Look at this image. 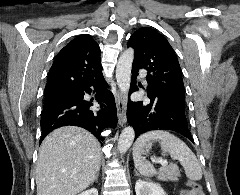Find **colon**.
I'll return each mask as SVG.
<instances>
[{
	"instance_id": "colon-1",
	"label": "colon",
	"mask_w": 240,
	"mask_h": 195,
	"mask_svg": "<svg viewBox=\"0 0 240 195\" xmlns=\"http://www.w3.org/2000/svg\"><path fill=\"white\" fill-rule=\"evenodd\" d=\"M190 194L191 195H202V189H198L197 186H195V183H190Z\"/></svg>"
}]
</instances>
